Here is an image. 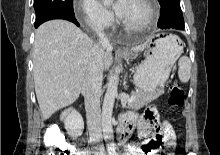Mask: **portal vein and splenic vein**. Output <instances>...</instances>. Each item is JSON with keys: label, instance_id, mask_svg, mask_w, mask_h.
Listing matches in <instances>:
<instances>
[{"label": "portal vein and splenic vein", "instance_id": "obj_1", "mask_svg": "<svg viewBox=\"0 0 220 155\" xmlns=\"http://www.w3.org/2000/svg\"><path fill=\"white\" fill-rule=\"evenodd\" d=\"M135 98V93H132L130 99L128 100V103L132 102Z\"/></svg>", "mask_w": 220, "mask_h": 155}]
</instances>
